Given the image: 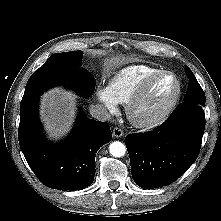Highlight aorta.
<instances>
[{"mask_svg": "<svg viewBox=\"0 0 221 221\" xmlns=\"http://www.w3.org/2000/svg\"><path fill=\"white\" fill-rule=\"evenodd\" d=\"M109 152L114 157H122L126 153V147L119 141H114L109 146Z\"/></svg>", "mask_w": 221, "mask_h": 221, "instance_id": "1", "label": "aorta"}]
</instances>
